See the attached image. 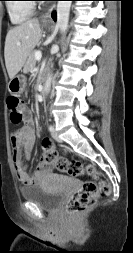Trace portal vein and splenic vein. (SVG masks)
Returning a JSON list of instances; mask_svg holds the SVG:
<instances>
[{
	"label": "portal vein and splenic vein",
	"instance_id": "1",
	"mask_svg": "<svg viewBox=\"0 0 133 253\" xmlns=\"http://www.w3.org/2000/svg\"><path fill=\"white\" fill-rule=\"evenodd\" d=\"M41 57H42L41 51H37V52L35 53V59L39 61V60H41Z\"/></svg>",
	"mask_w": 133,
	"mask_h": 253
}]
</instances>
